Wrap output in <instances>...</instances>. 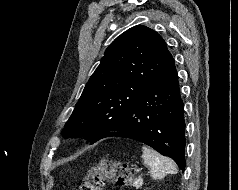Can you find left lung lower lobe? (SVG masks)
I'll use <instances>...</instances> for the list:
<instances>
[{
	"label": "left lung lower lobe",
	"mask_w": 238,
	"mask_h": 190,
	"mask_svg": "<svg viewBox=\"0 0 238 190\" xmlns=\"http://www.w3.org/2000/svg\"><path fill=\"white\" fill-rule=\"evenodd\" d=\"M120 136L140 141L185 170L184 104L172 60L153 79L112 130L101 137Z\"/></svg>",
	"instance_id": "1"
}]
</instances>
